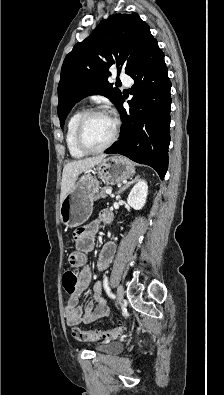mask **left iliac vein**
I'll return each instance as SVG.
<instances>
[{
  "label": "left iliac vein",
  "instance_id": "4c4485c4",
  "mask_svg": "<svg viewBox=\"0 0 224 395\" xmlns=\"http://www.w3.org/2000/svg\"><path fill=\"white\" fill-rule=\"evenodd\" d=\"M117 298V302L120 305L124 300V288L121 285L117 287Z\"/></svg>",
  "mask_w": 224,
  "mask_h": 395
}]
</instances>
